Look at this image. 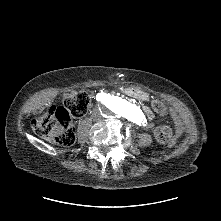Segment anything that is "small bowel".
<instances>
[{
	"mask_svg": "<svg viewBox=\"0 0 221 221\" xmlns=\"http://www.w3.org/2000/svg\"><path fill=\"white\" fill-rule=\"evenodd\" d=\"M98 95V94H97ZM95 97V96H94ZM97 97V96H96ZM145 111V114H146V116H147V118L148 119H150L151 118V113L148 111V109H145L144 110ZM176 124H177V126H178V128L180 127V121L179 120H176Z\"/></svg>",
	"mask_w": 221,
	"mask_h": 221,
	"instance_id": "1",
	"label": "small bowel"
}]
</instances>
